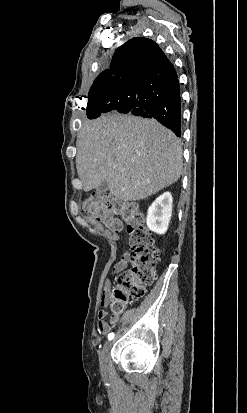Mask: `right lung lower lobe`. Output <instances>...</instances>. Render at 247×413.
Here are the masks:
<instances>
[{
    "mask_svg": "<svg viewBox=\"0 0 247 413\" xmlns=\"http://www.w3.org/2000/svg\"><path fill=\"white\" fill-rule=\"evenodd\" d=\"M125 82L132 89L126 96H111L87 111L89 119L111 111L155 118L181 137V98L176 71L170 62L156 72H135Z\"/></svg>",
    "mask_w": 247,
    "mask_h": 413,
    "instance_id": "1",
    "label": "right lung lower lobe"
}]
</instances>
